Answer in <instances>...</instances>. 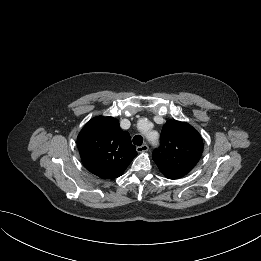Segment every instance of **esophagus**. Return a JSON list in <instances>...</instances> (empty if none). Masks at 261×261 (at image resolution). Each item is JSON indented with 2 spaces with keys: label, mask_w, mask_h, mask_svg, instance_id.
<instances>
[{
  "label": "esophagus",
  "mask_w": 261,
  "mask_h": 261,
  "mask_svg": "<svg viewBox=\"0 0 261 261\" xmlns=\"http://www.w3.org/2000/svg\"><path fill=\"white\" fill-rule=\"evenodd\" d=\"M136 150L138 153L147 152L149 150V147L147 144H143L141 146H138Z\"/></svg>",
  "instance_id": "esophagus-1"
}]
</instances>
